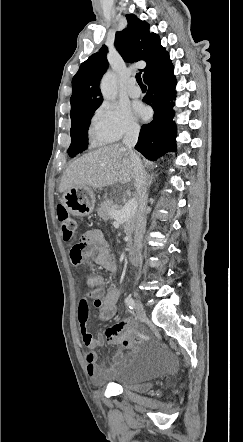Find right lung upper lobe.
Masks as SVG:
<instances>
[{
	"label": "right lung upper lobe",
	"mask_w": 243,
	"mask_h": 442,
	"mask_svg": "<svg viewBox=\"0 0 243 442\" xmlns=\"http://www.w3.org/2000/svg\"><path fill=\"white\" fill-rule=\"evenodd\" d=\"M128 26L115 35V47L127 62L143 60L146 67L142 70L143 77L157 66L167 53L160 44V38L149 32V25L133 14L126 15ZM107 47L91 55L83 62L73 77V93L70 99L71 120L78 115L97 109L103 101L99 88L102 75L107 70Z\"/></svg>",
	"instance_id": "cb5924a9"
}]
</instances>
